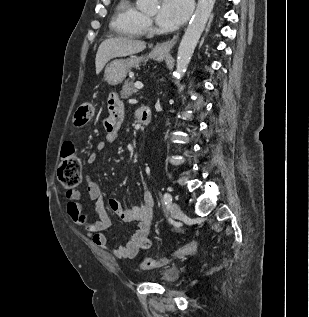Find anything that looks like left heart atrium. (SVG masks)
Listing matches in <instances>:
<instances>
[{
  "instance_id": "obj_1",
  "label": "left heart atrium",
  "mask_w": 309,
  "mask_h": 317,
  "mask_svg": "<svg viewBox=\"0 0 309 317\" xmlns=\"http://www.w3.org/2000/svg\"><path fill=\"white\" fill-rule=\"evenodd\" d=\"M190 11V0H162L156 20L162 29L174 30L186 20Z\"/></svg>"
}]
</instances>
